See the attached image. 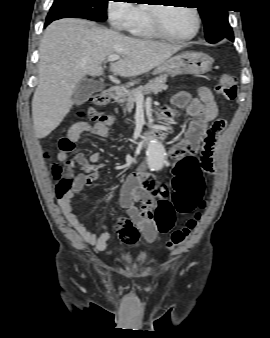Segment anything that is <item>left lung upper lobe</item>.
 Instances as JSON below:
<instances>
[{"instance_id": "1", "label": "left lung upper lobe", "mask_w": 270, "mask_h": 338, "mask_svg": "<svg viewBox=\"0 0 270 338\" xmlns=\"http://www.w3.org/2000/svg\"><path fill=\"white\" fill-rule=\"evenodd\" d=\"M198 7L204 23L205 37L209 43H216L224 37L234 40L233 31L228 22L226 9L222 8L223 0H200Z\"/></svg>"}]
</instances>
